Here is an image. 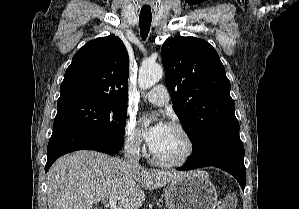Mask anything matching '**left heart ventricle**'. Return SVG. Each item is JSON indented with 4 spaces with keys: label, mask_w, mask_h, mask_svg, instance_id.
Segmentation results:
<instances>
[{
    "label": "left heart ventricle",
    "mask_w": 299,
    "mask_h": 209,
    "mask_svg": "<svg viewBox=\"0 0 299 209\" xmlns=\"http://www.w3.org/2000/svg\"><path fill=\"white\" fill-rule=\"evenodd\" d=\"M186 147V141L183 136L168 126L163 136L151 149L161 159L175 160L185 153Z\"/></svg>",
    "instance_id": "obj_1"
}]
</instances>
